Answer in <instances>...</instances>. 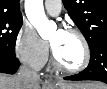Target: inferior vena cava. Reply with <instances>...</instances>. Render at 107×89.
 Listing matches in <instances>:
<instances>
[{
  "label": "inferior vena cava",
  "instance_id": "602c4592",
  "mask_svg": "<svg viewBox=\"0 0 107 89\" xmlns=\"http://www.w3.org/2000/svg\"><path fill=\"white\" fill-rule=\"evenodd\" d=\"M18 76L25 80H39L37 72L31 70L25 65H22L19 69Z\"/></svg>",
  "mask_w": 107,
  "mask_h": 89
}]
</instances>
